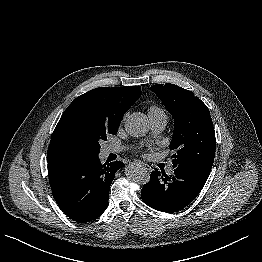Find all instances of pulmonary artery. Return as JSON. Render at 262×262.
<instances>
[{"mask_svg":"<svg viewBox=\"0 0 262 262\" xmlns=\"http://www.w3.org/2000/svg\"><path fill=\"white\" fill-rule=\"evenodd\" d=\"M150 125H151V129L153 130V132L155 133H161L167 124V118L164 116H157V117H150ZM119 151V148L117 147H113L110 146L107 149V152H117ZM174 172V169L172 167L167 169V173L168 174H172Z\"/></svg>","mask_w":262,"mask_h":262,"instance_id":"1","label":"pulmonary artery"}]
</instances>
